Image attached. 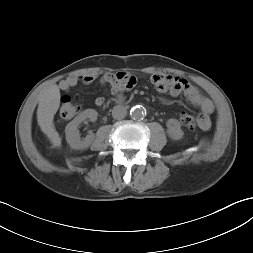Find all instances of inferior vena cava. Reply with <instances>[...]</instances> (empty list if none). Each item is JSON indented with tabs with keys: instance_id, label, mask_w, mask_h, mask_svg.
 <instances>
[{
	"instance_id": "602c4592",
	"label": "inferior vena cava",
	"mask_w": 253,
	"mask_h": 253,
	"mask_svg": "<svg viewBox=\"0 0 253 253\" xmlns=\"http://www.w3.org/2000/svg\"><path fill=\"white\" fill-rule=\"evenodd\" d=\"M127 114V110L124 106L117 105L112 110V116L114 119H123Z\"/></svg>"
}]
</instances>
